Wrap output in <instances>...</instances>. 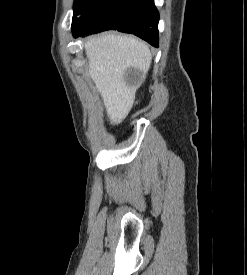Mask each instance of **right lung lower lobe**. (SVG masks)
Segmentation results:
<instances>
[{"instance_id":"obj_1","label":"right lung lower lobe","mask_w":247,"mask_h":275,"mask_svg":"<svg viewBox=\"0 0 247 275\" xmlns=\"http://www.w3.org/2000/svg\"><path fill=\"white\" fill-rule=\"evenodd\" d=\"M159 13L153 0H105L83 13L72 26L74 37L106 30L134 34L158 47Z\"/></svg>"}]
</instances>
